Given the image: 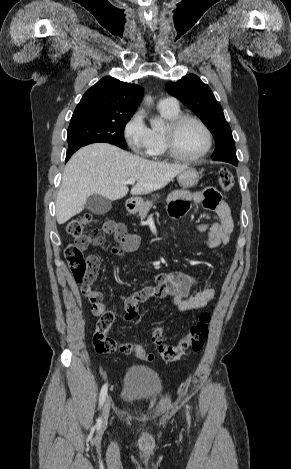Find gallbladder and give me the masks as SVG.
Returning <instances> with one entry per match:
<instances>
[{"mask_svg": "<svg viewBox=\"0 0 291 469\" xmlns=\"http://www.w3.org/2000/svg\"><path fill=\"white\" fill-rule=\"evenodd\" d=\"M85 208L95 215H103L111 210L112 204L108 198L99 194H92L87 198Z\"/></svg>", "mask_w": 291, "mask_h": 469, "instance_id": "obj_1", "label": "gallbladder"}]
</instances>
